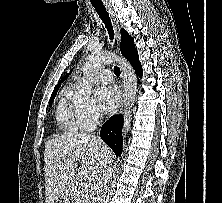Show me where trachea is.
Returning a JSON list of instances; mask_svg holds the SVG:
<instances>
[{"label": "trachea", "instance_id": "trachea-1", "mask_svg": "<svg viewBox=\"0 0 222 203\" xmlns=\"http://www.w3.org/2000/svg\"><path fill=\"white\" fill-rule=\"evenodd\" d=\"M93 7L95 8L97 14L99 15L100 19L102 20V22L105 24V27L108 31L110 40L112 41L114 39V30H113V26L109 17V14L107 13L104 5H95L93 4ZM120 68L118 66L114 67V74L116 76L120 75Z\"/></svg>", "mask_w": 222, "mask_h": 203}]
</instances>
